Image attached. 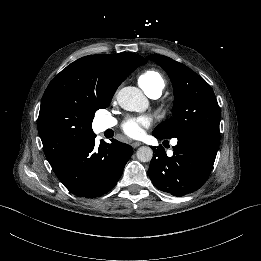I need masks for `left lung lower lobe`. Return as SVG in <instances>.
Returning a JSON list of instances; mask_svg holds the SVG:
<instances>
[{"label": "left lung lower lobe", "mask_w": 261, "mask_h": 261, "mask_svg": "<svg viewBox=\"0 0 261 261\" xmlns=\"http://www.w3.org/2000/svg\"><path fill=\"white\" fill-rule=\"evenodd\" d=\"M156 138L165 139L153 134ZM173 155L160 145L155 149L148 174L156 188L174 196L198 190L208 179L219 147L220 136L203 129L178 137Z\"/></svg>", "instance_id": "obj_1"}]
</instances>
